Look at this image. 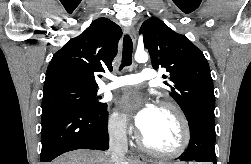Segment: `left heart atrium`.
<instances>
[{"mask_svg": "<svg viewBox=\"0 0 251 164\" xmlns=\"http://www.w3.org/2000/svg\"><path fill=\"white\" fill-rule=\"evenodd\" d=\"M136 98L137 95L133 93L121 99L119 104L123 109L131 112V116L136 127L141 134H144L150 127L155 117L157 107L150 102H146L140 105L138 108H135Z\"/></svg>", "mask_w": 251, "mask_h": 164, "instance_id": "left-heart-atrium-1", "label": "left heart atrium"}]
</instances>
